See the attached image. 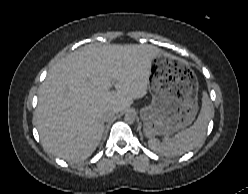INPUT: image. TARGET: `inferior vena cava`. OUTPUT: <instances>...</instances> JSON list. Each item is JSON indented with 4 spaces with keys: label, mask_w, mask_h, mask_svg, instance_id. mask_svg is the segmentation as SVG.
<instances>
[{
    "label": "inferior vena cava",
    "mask_w": 248,
    "mask_h": 194,
    "mask_svg": "<svg viewBox=\"0 0 248 194\" xmlns=\"http://www.w3.org/2000/svg\"><path fill=\"white\" fill-rule=\"evenodd\" d=\"M114 115H115V112H114V111H110V112H108V113L105 115L104 120H105V121H108V120L112 119V118L114 117Z\"/></svg>",
    "instance_id": "inferior-vena-cava-1"
}]
</instances>
